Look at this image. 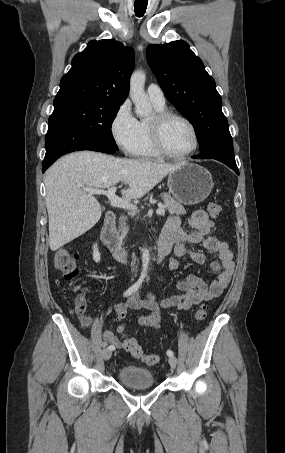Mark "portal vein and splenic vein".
<instances>
[{
    "label": "portal vein and splenic vein",
    "mask_w": 285,
    "mask_h": 453,
    "mask_svg": "<svg viewBox=\"0 0 285 453\" xmlns=\"http://www.w3.org/2000/svg\"><path fill=\"white\" fill-rule=\"evenodd\" d=\"M87 192L90 194H97V195H106L108 199L110 200V203L114 207L118 208H123L127 210H135L136 206L128 202V200L122 199L118 197L115 193L117 188L115 186H111L108 188V190H103V189H96V188H86L85 189ZM156 213L159 215H163L165 213V209L163 206H160L157 210Z\"/></svg>",
    "instance_id": "18ae733b"
}]
</instances>
